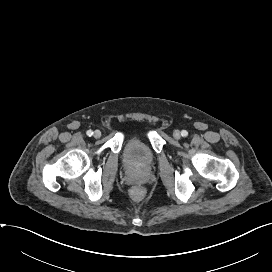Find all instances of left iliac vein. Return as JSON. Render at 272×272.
Listing matches in <instances>:
<instances>
[{"label":"left iliac vein","mask_w":272,"mask_h":272,"mask_svg":"<svg viewBox=\"0 0 272 272\" xmlns=\"http://www.w3.org/2000/svg\"><path fill=\"white\" fill-rule=\"evenodd\" d=\"M173 136H174L175 139H180V137H181L180 131L175 130L174 133H173Z\"/></svg>","instance_id":"1"}]
</instances>
